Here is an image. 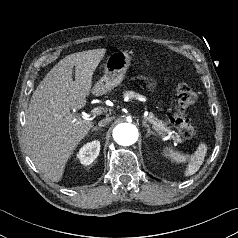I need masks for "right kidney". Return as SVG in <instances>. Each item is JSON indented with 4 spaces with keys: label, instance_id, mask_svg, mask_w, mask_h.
<instances>
[{
    "label": "right kidney",
    "instance_id": "right-kidney-1",
    "mask_svg": "<svg viewBox=\"0 0 238 238\" xmlns=\"http://www.w3.org/2000/svg\"><path fill=\"white\" fill-rule=\"evenodd\" d=\"M100 142L94 140L90 143L85 144L78 152L77 157L81 164L90 165L99 155Z\"/></svg>",
    "mask_w": 238,
    "mask_h": 238
}]
</instances>
